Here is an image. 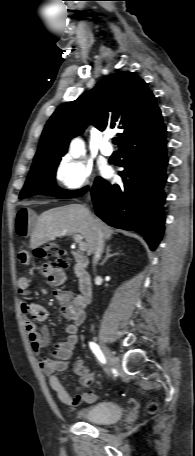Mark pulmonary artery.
I'll use <instances>...</instances> for the list:
<instances>
[{"label":"pulmonary artery","instance_id":"obj_1","mask_svg":"<svg viewBox=\"0 0 195 456\" xmlns=\"http://www.w3.org/2000/svg\"><path fill=\"white\" fill-rule=\"evenodd\" d=\"M110 136H105L103 142L100 146V151L104 156H111L113 153V148L109 142Z\"/></svg>","mask_w":195,"mask_h":456}]
</instances>
